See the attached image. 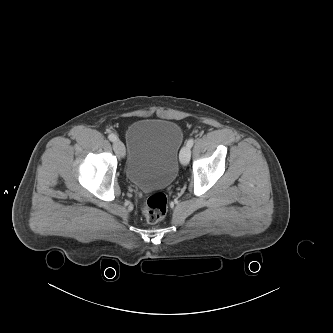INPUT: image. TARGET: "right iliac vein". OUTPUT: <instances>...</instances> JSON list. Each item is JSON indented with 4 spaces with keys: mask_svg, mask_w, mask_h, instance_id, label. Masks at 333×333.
Here are the masks:
<instances>
[{
    "mask_svg": "<svg viewBox=\"0 0 333 333\" xmlns=\"http://www.w3.org/2000/svg\"><path fill=\"white\" fill-rule=\"evenodd\" d=\"M113 149L119 157L123 158L125 156V147H124V144L120 140L114 141Z\"/></svg>",
    "mask_w": 333,
    "mask_h": 333,
    "instance_id": "1",
    "label": "right iliac vein"
}]
</instances>
